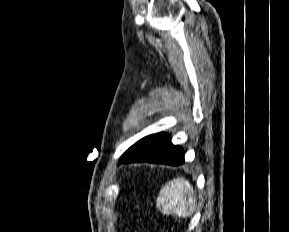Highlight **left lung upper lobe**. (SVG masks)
<instances>
[{
    "label": "left lung upper lobe",
    "mask_w": 289,
    "mask_h": 232,
    "mask_svg": "<svg viewBox=\"0 0 289 232\" xmlns=\"http://www.w3.org/2000/svg\"><path fill=\"white\" fill-rule=\"evenodd\" d=\"M153 135H149L147 137L142 138L138 142H136L133 146H131L121 157L119 164L126 160L129 156H131L134 152H136L145 142H147Z\"/></svg>",
    "instance_id": "1"
}]
</instances>
